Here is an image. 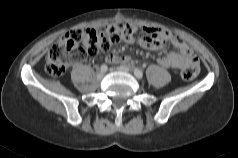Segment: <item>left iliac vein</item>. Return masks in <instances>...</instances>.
<instances>
[{
  "label": "left iliac vein",
  "mask_w": 238,
  "mask_h": 158,
  "mask_svg": "<svg viewBox=\"0 0 238 158\" xmlns=\"http://www.w3.org/2000/svg\"><path fill=\"white\" fill-rule=\"evenodd\" d=\"M117 70L122 72H128V73L131 72V69L127 66H119L117 67Z\"/></svg>",
  "instance_id": "1"
}]
</instances>
